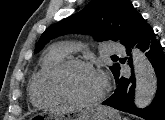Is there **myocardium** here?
Returning <instances> with one entry per match:
<instances>
[{
  "mask_svg": "<svg viewBox=\"0 0 165 120\" xmlns=\"http://www.w3.org/2000/svg\"><path fill=\"white\" fill-rule=\"evenodd\" d=\"M86 68L96 72L94 66L85 60L82 59H67L61 62L53 71L50 77V89L52 93L61 101L68 102L76 105H93L100 102L106 94V86L103 83V88L101 92L90 99H76L71 97L66 90L64 89L63 79L67 72L73 68Z\"/></svg>",
  "mask_w": 165,
  "mask_h": 120,
  "instance_id": "1",
  "label": "myocardium"
}]
</instances>
